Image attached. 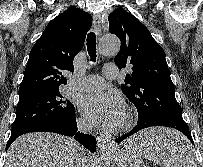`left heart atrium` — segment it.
I'll return each instance as SVG.
<instances>
[{
    "mask_svg": "<svg viewBox=\"0 0 203 167\" xmlns=\"http://www.w3.org/2000/svg\"><path fill=\"white\" fill-rule=\"evenodd\" d=\"M83 114L95 125L111 128L119 125L124 117V103L113 92H96L80 101Z\"/></svg>",
    "mask_w": 203,
    "mask_h": 167,
    "instance_id": "39dd6f15",
    "label": "left heart atrium"
}]
</instances>
